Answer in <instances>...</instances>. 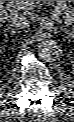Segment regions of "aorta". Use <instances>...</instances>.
Segmentation results:
<instances>
[{
    "label": "aorta",
    "mask_w": 74,
    "mask_h": 122,
    "mask_svg": "<svg viewBox=\"0 0 74 122\" xmlns=\"http://www.w3.org/2000/svg\"><path fill=\"white\" fill-rule=\"evenodd\" d=\"M39 56L46 62L56 60L61 55V49L54 40L42 39L38 44Z\"/></svg>",
    "instance_id": "obj_1"
}]
</instances>
